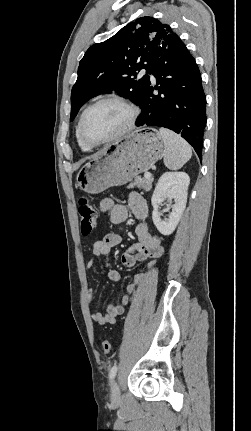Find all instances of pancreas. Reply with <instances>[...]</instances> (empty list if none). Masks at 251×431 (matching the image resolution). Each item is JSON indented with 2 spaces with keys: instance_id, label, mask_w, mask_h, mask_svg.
Wrapping results in <instances>:
<instances>
[{
  "instance_id": "obj_1",
  "label": "pancreas",
  "mask_w": 251,
  "mask_h": 431,
  "mask_svg": "<svg viewBox=\"0 0 251 431\" xmlns=\"http://www.w3.org/2000/svg\"><path fill=\"white\" fill-rule=\"evenodd\" d=\"M152 182H153V178L147 179V178H143L141 176H136L134 181L131 182L127 188H134V186H137L140 189H143L144 191L148 192L151 190L152 188Z\"/></svg>"
}]
</instances>
